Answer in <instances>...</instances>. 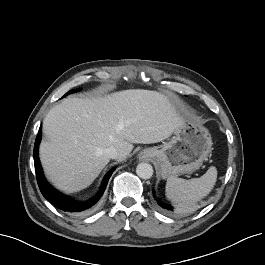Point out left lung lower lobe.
<instances>
[{
  "mask_svg": "<svg viewBox=\"0 0 265 265\" xmlns=\"http://www.w3.org/2000/svg\"><path fill=\"white\" fill-rule=\"evenodd\" d=\"M158 205L161 207L162 210L165 212H171L173 211V206H171L168 203H165L164 201H161L160 199L157 200Z\"/></svg>",
  "mask_w": 265,
  "mask_h": 265,
  "instance_id": "left-lung-lower-lobe-1",
  "label": "left lung lower lobe"
}]
</instances>
